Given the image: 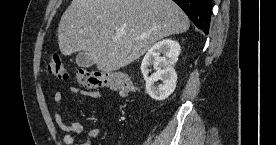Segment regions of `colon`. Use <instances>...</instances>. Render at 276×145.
<instances>
[{
	"instance_id": "colon-1",
	"label": "colon",
	"mask_w": 276,
	"mask_h": 145,
	"mask_svg": "<svg viewBox=\"0 0 276 145\" xmlns=\"http://www.w3.org/2000/svg\"><path fill=\"white\" fill-rule=\"evenodd\" d=\"M46 69L50 76L57 79L67 80L70 77L58 55L49 58ZM74 76L77 82L86 88H108L121 95H128L134 91L132 81L123 71L78 68Z\"/></svg>"
}]
</instances>
